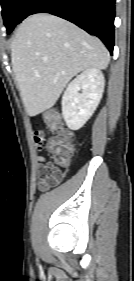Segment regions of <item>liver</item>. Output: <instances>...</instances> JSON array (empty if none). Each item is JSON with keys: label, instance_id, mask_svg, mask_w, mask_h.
Masks as SVG:
<instances>
[{"label": "liver", "instance_id": "6515ba94", "mask_svg": "<svg viewBox=\"0 0 134 281\" xmlns=\"http://www.w3.org/2000/svg\"><path fill=\"white\" fill-rule=\"evenodd\" d=\"M109 61V53L97 37L46 13L27 17L11 44L12 68L29 116L54 106L79 72L106 69Z\"/></svg>", "mask_w": 134, "mask_h": 281}]
</instances>
